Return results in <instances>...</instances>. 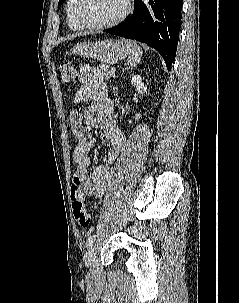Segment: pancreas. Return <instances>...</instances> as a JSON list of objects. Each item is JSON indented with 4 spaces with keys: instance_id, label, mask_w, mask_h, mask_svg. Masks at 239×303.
Instances as JSON below:
<instances>
[{
    "instance_id": "cf45deb5",
    "label": "pancreas",
    "mask_w": 239,
    "mask_h": 303,
    "mask_svg": "<svg viewBox=\"0 0 239 303\" xmlns=\"http://www.w3.org/2000/svg\"><path fill=\"white\" fill-rule=\"evenodd\" d=\"M110 69L111 67L108 65H100V77L106 80L114 77L115 74Z\"/></svg>"
}]
</instances>
